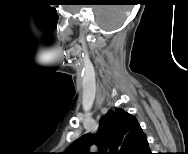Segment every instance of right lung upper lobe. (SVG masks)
<instances>
[{"instance_id": "cb5924a9", "label": "right lung upper lobe", "mask_w": 188, "mask_h": 154, "mask_svg": "<svg viewBox=\"0 0 188 154\" xmlns=\"http://www.w3.org/2000/svg\"><path fill=\"white\" fill-rule=\"evenodd\" d=\"M91 144L98 146V154H145L149 150L137 119L121 108L111 109L101 117L96 136L83 135L65 153L91 154L88 151Z\"/></svg>"}]
</instances>
